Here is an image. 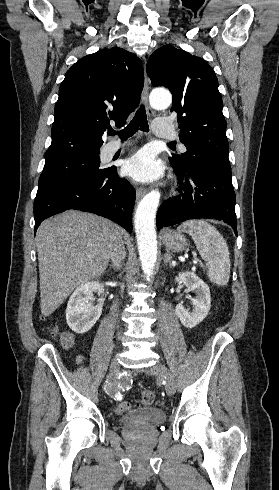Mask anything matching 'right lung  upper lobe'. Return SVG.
<instances>
[{
    "instance_id": "cb5924a9",
    "label": "right lung upper lobe",
    "mask_w": 279,
    "mask_h": 490,
    "mask_svg": "<svg viewBox=\"0 0 279 490\" xmlns=\"http://www.w3.org/2000/svg\"><path fill=\"white\" fill-rule=\"evenodd\" d=\"M143 83L140 59L122 48L102 49L77 61L59 89L45 164L99 155L109 121L125 124Z\"/></svg>"
}]
</instances>
